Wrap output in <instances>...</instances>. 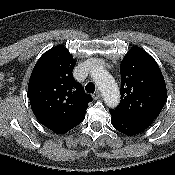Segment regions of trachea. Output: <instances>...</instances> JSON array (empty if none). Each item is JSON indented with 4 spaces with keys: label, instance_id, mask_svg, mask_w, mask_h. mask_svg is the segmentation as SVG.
I'll use <instances>...</instances> for the list:
<instances>
[{
    "label": "trachea",
    "instance_id": "1",
    "mask_svg": "<svg viewBox=\"0 0 175 175\" xmlns=\"http://www.w3.org/2000/svg\"><path fill=\"white\" fill-rule=\"evenodd\" d=\"M85 90L87 93H91L93 94L95 91V85L91 82H89L86 86H85Z\"/></svg>",
    "mask_w": 175,
    "mask_h": 175
}]
</instances>
